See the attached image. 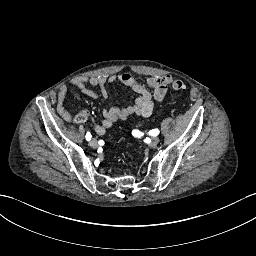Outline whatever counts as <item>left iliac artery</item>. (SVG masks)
Instances as JSON below:
<instances>
[{
	"label": "left iliac artery",
	"instance_id": "1",
	"mask_svg": "<svg viewBox=\"0 0 256 256\" xmlns=\"http://www.w3.org/2000/svg\"><path fill=\"white\" fill-rule=\"evenodd\" d=\"M136 132V134H138L139 133V131L137 130H133V132ZM159 134V130L158 129H153V130H151V131H149V135H151V136H157Z\"/></svg>",
	"mask_w": 256,
	"mask_h": 256
}]
</instances>
